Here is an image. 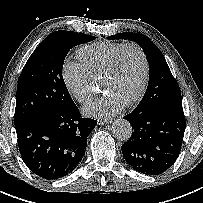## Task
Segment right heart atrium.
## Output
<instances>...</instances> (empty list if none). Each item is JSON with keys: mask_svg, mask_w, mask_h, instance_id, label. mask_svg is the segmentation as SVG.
I'll list each match as a JSON object with an SVG mask.
<instances>
[{"mask_svg": "<svg viewBox=\"0 0 203 203\" xmlns=\"http://www.w3.org/2000/svg\"><path fill=\"white\" fill-rule=\"evenodd\" d=\"M62 77L70 94L80 103L95 90V79L79 62L67 59L62 67Z\"/></svg>", "mask_w": 203, "mask_h": 203, "instance_id": "obj_1", "label": "right heart atrium"}]
</instances>
